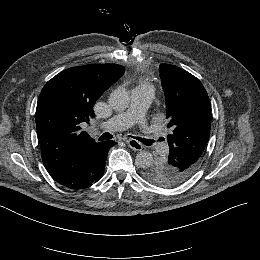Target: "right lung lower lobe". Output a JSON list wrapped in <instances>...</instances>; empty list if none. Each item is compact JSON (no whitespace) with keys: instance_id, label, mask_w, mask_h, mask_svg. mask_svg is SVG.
I'll return each mask as SVG.
<instances>
[{"instance_id":"right-lung-lower-lobe-1","label":"right lung lower lobe","mask_w":260,"mask_h":260,"mask_svg":"<svg viewBox=\"0 0 260 260\" xmlns=\"http://www.w3.org/2000/svg\"><path fill=\"white\" fill-rule=\"evenodd\" d=\"M114 144V141L99 142L73 164L65 166L51 176L62 186L75 190L98 182L104 174L108 151Z\"/></svg>"}]
</instances>
